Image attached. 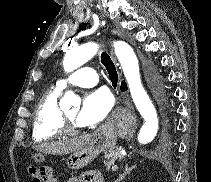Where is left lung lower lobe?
<instances>
[{
    "label": "left lung lower lobe",
    "instance_id": "obj_1",
    "mask_svg": "<svg viewBox=\"0 0 211 182\" xmlns=\"http://www.w3.org/2000/svg\"><path fill=\"white\" fill-rule=\"evenodd\" d=\"M127 90V85L124 81L121 83V91H126Z\"/></svg>",
    "mask_w": 211,
    "mask_h": 182
}]
</instances>
